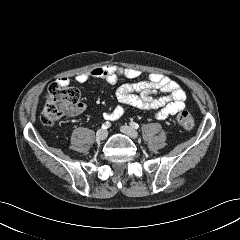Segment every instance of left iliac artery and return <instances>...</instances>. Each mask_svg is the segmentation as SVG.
Segmentation results:
<instances>
[{
    "label": "left iliac artery",
    "instance_id": "obj_1",
    "mask_svg": "<svg viewBox=\"0 0 240 240\" xmlns=\"http://www.w3.org/2000/svg\"><path fill=\"white\" fill-rule=\"evenodd\" d=\"M130 125L133 127V128H135V129H138L139 128V125L137 124V123H135V122H130Z\"/></svg>",
    "mask_w": 240,
    "mask_h": 240
}]
</instances>
